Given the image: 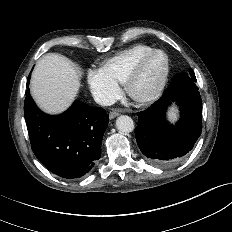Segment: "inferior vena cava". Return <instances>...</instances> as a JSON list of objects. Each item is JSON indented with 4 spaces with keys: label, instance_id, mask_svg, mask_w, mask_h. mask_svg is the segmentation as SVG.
Here are the masks:
<instances>
[{
    "label": "inferior vena cava",
    "instance_id": "inferior-vena-cava-1",
    "mask_svg": "<svg viewBox=\"0 0 232 232\" xmlns=\"http://www.w3.org/2000/svg\"><path fill=\"white\" fill-rule=\"evenodd\" d=\"M94 101L102 106H110L114 104V99L104 93L94 94Z\"/></svg>",
    "mask_w": 232,
    "mask_h": 232
}]
</instances>
